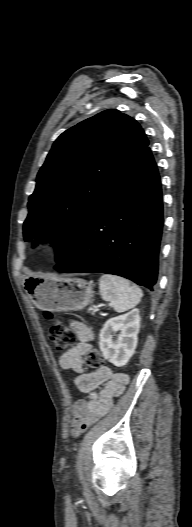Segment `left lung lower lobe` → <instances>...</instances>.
Instances as JSON below:
<instances>
[{"instance_id":"left-lung-lower-lobe-1","label":"left lung lower lobe","mask_w":192,"mask_h":527,"mask_svg":"<svg viewBox=\"0 0 192 527\" xmlns=\"http://www.w3.org/2000/svg\"><path fill=\"white\" fill-rule=\"evenodd\" d=\"M162 226L161 183L147 146L113 183L54 269L119 275L153 290Z\"/></svg>"}]
</instances>
